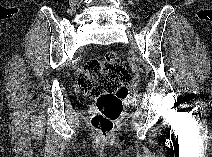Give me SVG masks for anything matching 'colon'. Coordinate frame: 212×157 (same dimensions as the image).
I'll return each mask as SVG.
<instances>
[{
    "instance_id": "obj_1",
    "label": "colon",
    "mask_w": 212,
    "mask_h": 157,
    "mask_svg": "<svg viewBox=\"0 0 212 157\" xmlns=\"http://www.w3.org/2000/svg\"><path fill=\"white\" fill-rule=\"evenodd\" d=\"M132 76L115 51L103 60H90L79 77V88L97 98L91 125L101 138L112 135L115 121L121 116Z\"/></svg>"
}]
</instances>
